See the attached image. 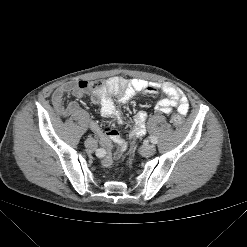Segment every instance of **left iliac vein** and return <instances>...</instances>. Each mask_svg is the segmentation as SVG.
<instances>
[{
    "label": "left iliac vein",
    "instance_id": "4c4485c4",
    "mask_svg": "<svg viewBox=\"0 0 247 247\" xmlns=\"http://www.w3.org/2000/svg\"><path fill=\"white\" fill-rule=\"evenodd\" d=\"M156 147L154 145L143 146L140 150L143 156H151L155 153Z\"/></svg>",
    "mask_w": 247,
    "mask_h": 247
}]
</instances>
